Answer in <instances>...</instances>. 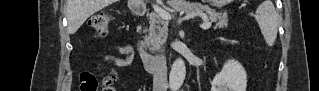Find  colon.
Masks as SVG:
<instances>
[{
	"mask_svg": "<svg viewBox=\"0 0 319 91\" xmlns=\"http://www.w3.org/2000/svg\"><path fill=\"white\" fill-rule=\"evenodd\" d=\"M111 21V16L105 12H99L92 15L89 18L88 24L89 27L97 35H105L108 32L109 25ZM80 90L81 91H96L98 90V81L97 79L90 74H83L80 78ZM113 79L111 77H105L102 81L103 90H111L113 86Z\"/></svg>",
	"mask_w": 319,
	"mask_h": 91,
	"instance_id": "1",
	"label": "colon"
}]
</instances>
